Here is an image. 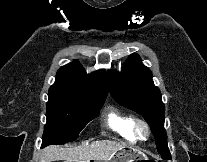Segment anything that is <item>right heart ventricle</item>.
Masks as SVG:
<instances>
[{"instance_id": "e07e8e85", "label": "right heart ventricle", "mask_w": 207, "mask_h": 162, "mask_svg": "<svg viewBox=\"0 0 207 162\" xmlns=\"http://www.w3.org/2000/svg\"><path fill=\"white\" fill-rule=\"evenodd\" d=\"M134 118L124 112L111 108L104 116V125L107 129L115 132L128 141H135L132 131Z\"/></svg>"}]
</instances>
